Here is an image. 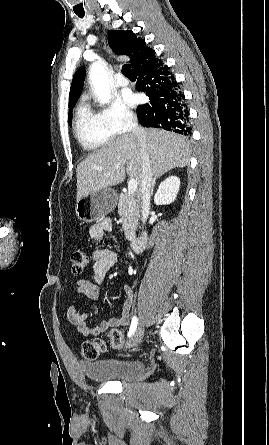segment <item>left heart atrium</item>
Wrapping results in <instances>:
<instances>
[{"instance_id": "1", "label": "left heart atrium", "mask_w": 269, "mask_h": 445, "mask_svg": "<svg viewBox=\"0 0 269 445\" xmlns=\"http://www.w3.org/2000/svg\"><path fill=\"white\" fill-rule=\"evenodd\" d=\"M124 100L129 104V105H134L137 102V97L132 94V93H125L124 94Z\"/></svg>"}]
</instances>
